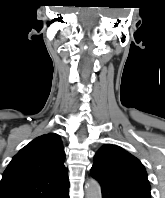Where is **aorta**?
I'll list each match as a JSON object with an SVG mask.
<instances>
[{
  "instance_id": "762f6f07",
  "label": "aorta",
  "mask_w": 165,
  "mask_h": 198,
  "mask_svg": "<svg viewBox=\"0 0 165 198\" xmlns=\"http://www.w3.org/2000/svg\"><path fill=\"white\" fill-rule=\"evenodd\" d=\"M86 198H102L101 187L98 181L90 179L85 185Z\"/></svg>"
}]
</instances>
